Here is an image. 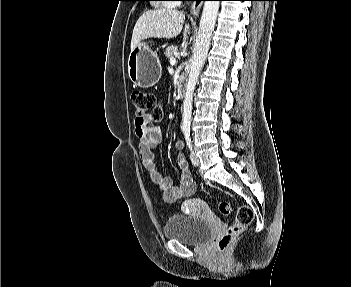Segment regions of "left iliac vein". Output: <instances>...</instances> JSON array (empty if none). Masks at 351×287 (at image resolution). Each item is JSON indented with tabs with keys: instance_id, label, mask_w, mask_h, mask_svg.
<instances>
[{
	"instance_id": "4c4485c4",
	"label": "left iliac vein",
	"mask_w": 351,
	"mask_h": 287,
	"mask_svg": "<svg viewBox=\"0 0 351 287\" xmlns=\"http://www.w3.org/2000/svg\"><path fill=\"white\" fill-rule=\"evenodd\" d=\"M190 160L193 166L197 167L199 166L200 162H199V158L198 156L194 153V151H192L190 153Z\"/></svg>"
}]
</instances>
